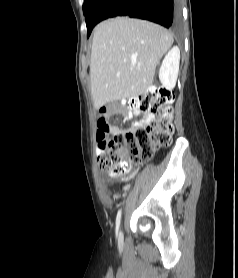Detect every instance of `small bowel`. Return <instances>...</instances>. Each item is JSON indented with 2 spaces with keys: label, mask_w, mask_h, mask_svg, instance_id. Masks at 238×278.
Masks as SVG:
<instances>
[{
  "label": "small bowel",
  "mask_w": 238,
  "mask_h": 278,
  "mask_svg": "<svg viewBox=\"0 0 238 278\" xmlns=\"http://www.w3.org/2000/svg\"><path fill=\"white\" fill-rule=\"evenodd\" d=\"M108 117H109V114H108L107 110L106 109H102L100 111L98 121L99 120H104L108 124V121H107ZM123 117H124V119H130V118H133V117H140L141 118L139 121H137L134 124V126L132 127L131 130L136 129V128L144 127V126L148 125L153 120V116L151 114H143L139 110H134L133 112H127L126 114H124ZM120 131L121 130L119 128H117L116 126L109 125V130L106 133V136H107V134L113 135V134H116V133H118ZM99 150H100V152H102L100 146H99ZM126 180H128V179H126Z\"/></svg>",
  "instance_id": "obj_1"
}]
</instances>
